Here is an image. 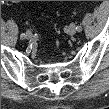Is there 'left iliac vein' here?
<instances>
[{
    "label": "left iliac vein",
    "instance_id": "obj_1",
    "mask_svg": "<svg viewBox=\"0 0 109 109\" xmlns=\"http://www.w3.org/2000/svg\"><path fill=\"white\" fill-rule=\"evenodd\" d=\"M68 32L70 35H75V33L77 32V29H76V25L74 23L70 24V26L68 28Z\"/></svg>",
    "mask_w": 109,
    "mask_h": 109
}]
</instances>
